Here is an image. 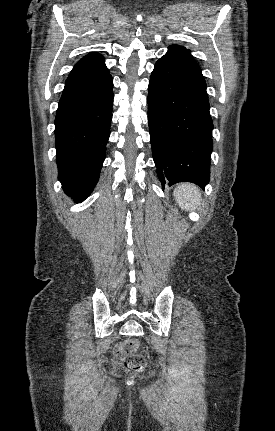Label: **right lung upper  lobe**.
I'll return each instance as SVG.
<instances>
[{
    "label": "right lung upper lobe",
    "mask_w": 275,
    "mask_h": 431,
    "mask_svg": "<svg viewBox=\"0 0 275 431\" xmlns=\"http://www.w3.org/2000/svg\"><path fill=\"white\" fill-rule=\"evenodd\" d=\"M106 69L103 56L95 52L90 53L77 62L65 83L88 78Z\"/></svg>",
    "instance_id": "1"
}]
</instances>
